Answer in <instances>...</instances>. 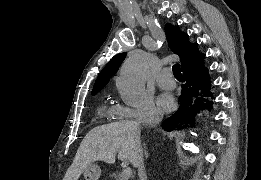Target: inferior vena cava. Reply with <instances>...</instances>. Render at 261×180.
Returning <instances> with one entry per match:
<instances>
[{"mask_svg":"<svg viewBox=\"0 0 261 180\" xmlns=\"http://www.w3.org/2000/svg\"><path fill=\"white\" fill-rule=\"evenodd\" d=\"M131 164L132 166H134V168H138V174L140 178L144 180L145 172L142 148H139V150H137L134 160H131Z\"/></svg>","mask_w":261,"mask_h":180,"instance_id":"602c4592","label":"inferior vena cava"}]
</instances>
